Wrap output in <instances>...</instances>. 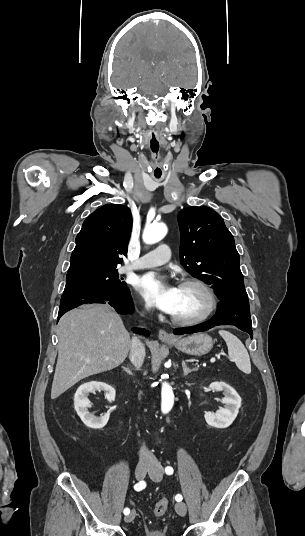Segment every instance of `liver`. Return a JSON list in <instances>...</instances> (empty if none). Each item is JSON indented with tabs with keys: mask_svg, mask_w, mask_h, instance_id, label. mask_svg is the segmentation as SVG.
<instances>
[{
	"mask_svg": "<svg viewBox=\"0 0 305 536\" xmlns=\"http://www.w3.org/2000/svg\"><path fill=\"white\" fill-rule=\"evenodd\" d=\"M51 400L79 380L113 370L127 358L130 334L108 304H88L62 316Z\"/></svg>",
	"mask_w": 305,
	"mask_h": 536,
	"instance_id": "liver-1",
	"label": "liver"
}]
</instances>
